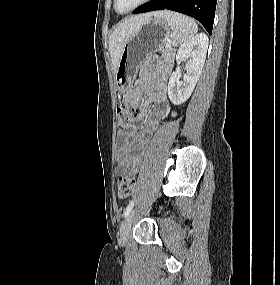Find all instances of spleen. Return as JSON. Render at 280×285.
Returning a JSON list of instances; mask_svg holds the SVG:
<instances>
[{"label":"spleen","instance_id":"spleen-1","mask_svg":"<svg viewBox=\"0 0 280 285\" xmlns=\"http://www.w3.org/2000/svg\"><path fill=\"white\" fill-rule=\"evenodd\" d=\"M155 17L164 19L173 31L174 45H182L191 39L198 31L196 22L185 15L172 11L157 12Z\"/></svg>","mask_w":280,"mask_h":285}]
</instances>
